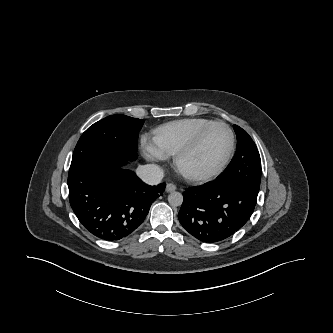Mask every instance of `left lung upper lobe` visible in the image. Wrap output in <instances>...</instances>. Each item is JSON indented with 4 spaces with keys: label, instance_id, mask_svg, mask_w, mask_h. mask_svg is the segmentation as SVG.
<instances>
[{
    "label": "left lung upper lobe",
    "instance_id": "obj_1",
    "mask_svg": "<svg viewBox=\"0 0 333 333\" xmlns=\"http://www.w3.org/2000/svg\"><path fill=\"white\" fill-rule=\"evenodd\" d=\"M237 150L228 167L215 179L220 182H239L259 192L261 159L257 147L248 133L234 125Z\"/></svg>",
    "mask_w": 333,
    "mask_h": 333
}]
</instances>
